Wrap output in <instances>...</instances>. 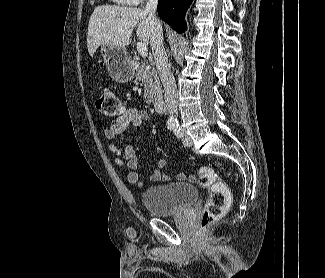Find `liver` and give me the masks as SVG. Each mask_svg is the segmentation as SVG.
Segmentation results:
<instances>
[{
	"label": "liver",
	"mask_w": 325,
	"mask_h": 278,
	"mask_svg": "<svg viewBox=\"0 0 325 278\" xmlns=\"http://www.w3.org/2000/svg\"><path fill=\"white\" fill-rule=\"evenodd\" d=\"M136 26L137 37L148 44L151 24L145 10L116 5L96 7L88 24L87 48L90 56H93L102 45L119 47L129 45Z\"/></svg>",
	"instance_id": "liver-1"
}]
</instances>
